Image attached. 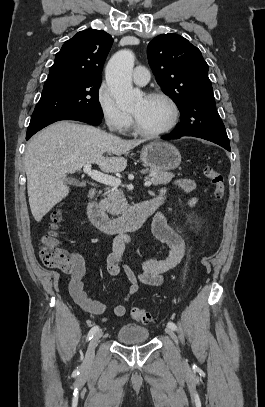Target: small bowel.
I'll use <instances>...</instances> for the list:
<instances>
[{
    "label": "small bowel",
    "instance_id": "small-bowel-1",
    "mask_svg": "<svg viewBox=\"0 0 265 407\" xmlns=\"http://www.w3.org/2000/svg\"><path fill=\"white\" fill-rule=\"evenodd\" d=\"M175 184L184 192L191 193L196 188V183L189 178H178ZM165 190H162L159 199H163ZM194 203V200H191ZM152 232L156 239L168 246V251L159 258L147 259L143 262L141 271L134 272L129 267L122 266V254L124 251L123 240L115 243L113 250L106 260L107 271L110 275L118 277L124 275L130 281V287L124 296V302L138 291L140 284L159 286L163 281V275L175 268L182 260L185 252V242L181 235L169 224L163 213L158 212L152 221ZM86 273L85 260L79 255H74V267L70 272L68 283L69 292L74 301L84 311L92 315H102L107 305L101 301L88 297L84 291L83 277ZM116 317H123L126 313L124 304H118L113 309ZM105 320V319H104Z\"/></svg>",
    "mask_w": 265,
    "mask_h": 407
}]
</instances>
